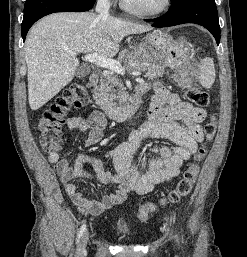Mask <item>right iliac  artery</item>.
I'll list each match as a JSON object with an SVG mask.
<instances>
[{
	"label": "right iliac artery",
	"mask_w": 247,
	"mask_h": 257,
	"mask_svg": "<svg viewBox=\"0 0 247 257\" xmlns=\"http://www.w3.org/2000/svg\"><path fill=\"white\" fill-rule=\"evenodd\" d=\"M86 230V225L85 223L80 227L77 235V243L79 242L80 238L82 237L84 231Z\"/></svg>",
	"instance_id": "obj_1"
}]
</instances>
